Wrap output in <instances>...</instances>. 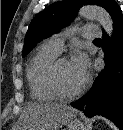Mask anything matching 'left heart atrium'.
<instances>
[{"label": "left heart atrium", "instance_id": "obj_1", "mask_svg": "<svg viewBox=\"0 0 123 130\" xmlns=\"http://www.w3.org/2000/svg\"><path fill=\"white\" fill-rule=\"evenodd\" d=\"M70 65L74 73L84 82L89 68L87 56L81 51L76 52L70 61Z\"/></svg>", "mask_w": 123, "mask_h": 130}]
</instances>
